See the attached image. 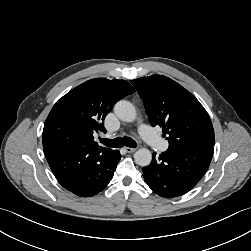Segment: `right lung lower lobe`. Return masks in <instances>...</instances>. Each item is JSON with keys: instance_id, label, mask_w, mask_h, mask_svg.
Returning <instances> with one entry per match:
<instances>
[{"instance_id": "right-lung-lower-lobe-1", "label": "right lung lower lobe", "mask_w": 251, "mask_h": 251, "mask_svg": "<svg viewBox=\"0 0 251 251\" xmlns=\"http://www.w3.org/2000/svg\"><path fill=\"white\" fill-rule=\"evenodd\" d=\"M44 154L58 182L81 197L102 191L121 158L118 150L106 153L86 147H51L44 149Z\"/></svg>"}]
</instances>
